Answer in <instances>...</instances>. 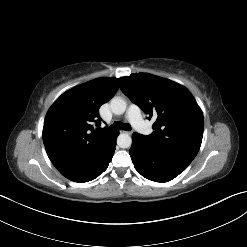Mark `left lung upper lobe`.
<instances>
[{"mask_svg": "<svg viewBox=\"0 0 247 247\" xmlns=\"http://www.w3.org/2000/svg\"><path fill=\"white\" fill-rule=\"evenodd\" d=\"M122 92L138 105L153 124L154 132L143 137L154 148L190 164L203 137V115L192 94L170 80L146 73L119 79Z\"/></svg>", "mask_w": 247, "mask_h": 247, "instance_id": "5c2ea615", "label": "left lung upper lobe"}]
</instances>
